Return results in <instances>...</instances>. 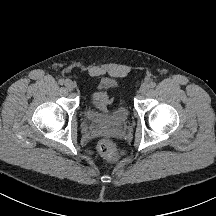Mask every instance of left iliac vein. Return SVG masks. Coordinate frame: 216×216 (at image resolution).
Here are the masks:
<instances>
[{"label": "left iliac vein", "instance_id": "4c4485c4", "mask_svg": "<svg viewBox=\"0 0 216 216\" xmlns=\"http://www.w3.org/2000/svg\"><path fill=\"white\" fill-rule=\"evenodd\" d=\"M149 85L148 84H143V85H141V87H140V93L141 94H146L147 92H148V90H149Z\"/></svg>", "mask_w": 216, "mask_h": 216}]
</instances>
